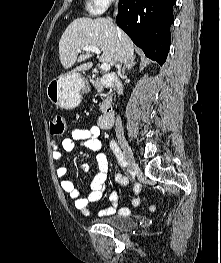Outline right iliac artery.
I'll list each match as a JSON object with an SVG mask.
<instances>
[{
    "label": "right iliac artery",
    "mask_w": 221,
    "mask_h": 263,
    "mask_svg": "<svg viewBox=\"0 0 221 263\" xmlns=\"http://www.w3.org/2000/svg\"><path fill=\"white\" fill-rule=\"evenodd\" d=\"M110 147H111L112 151L114 152L115 156L117 157V160L120 163V165L122 167H127L128 163L124 159L123 154H122L119 146L117 145V143L112 140L110 142Z\"/></svg>",
    "instance_id": "1"
}]
</instances>
